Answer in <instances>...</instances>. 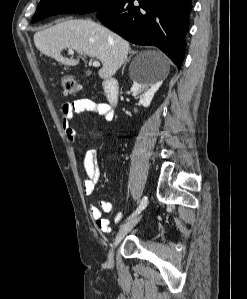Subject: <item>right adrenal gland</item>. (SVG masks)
<instances>
[{
	"label": "right adrenal gland",
	"instance_id": "2a0ac1e0",
	"mask_svg": "<svg viewBox=\"0 0 247 299\" xmlns=\"http://www.w3.org/2000/svg\"><path fill=\"white\" fill-rule=\"evenodd\" d=\"M135 53H136L135 51H131V55H130V57L126 60V62H125V64H124V67H125L127 61H128V60L131 58V56L134 55ZM124 67H123V68H124Z\"/></svg>",
	"mask_w": 247,
	"mask_h": 299
}]
</instances>
